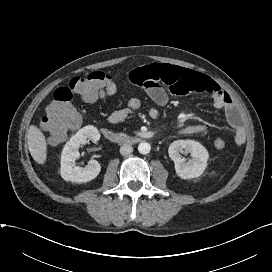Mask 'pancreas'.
I'll use <instances>...</instances> for the list:
<instances>
[{
  "label": "pancreas",
  "mask_w": 272,
  "mask_h": 272,
  "mask_svg": "<svg viewBox=\"0 0 272 272\" xmlns=\"http://www.w3.org/2000/svg\"><path fill=\"white\" fill-rule=\"evenodd\" d=\"M119 136H120V137H126V134H124V133H119Z\"/></svg>",
  "instance_id": "cf45deb5"
}]
</instances>
